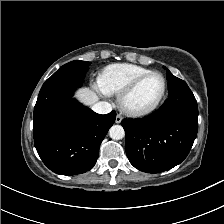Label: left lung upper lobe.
<instances>
[{"instance_id":"left-lung-upper-lobe-1","label":"left lung upper lobe","mask_w":224,"mask_h":224,"mask_svg":"<svg viewBox=\"0 0 224 224\" xmlns=\"http://www.w3.org/2000/svg\"><path fill=\"white\" fill-rule=\"evenodd\" d=\"M167 79H168L169 94L181 88L187 87V84L185 81L175 77L168 69H167Z\"/></svg>"}]
</instances>
